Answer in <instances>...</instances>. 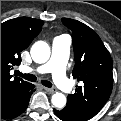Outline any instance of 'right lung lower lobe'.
I'll return each instance as SVG.
<instances>
[{"mask_svg":"<svg viewBox=\"0 0 121 121\" xmlns=\"http://www.w3.org/2000/svg\"><path fill=\"white\" fill-rule=\"evenodd\" d=\"M34 85L29 83L23 90L10 94L1 102V118L11 119L23 113L29 103Z\"/></svg>","mask_w":121,"mask_h":121,"instance_id":"1","label":"right lung lower lobe"}]
</instances>
